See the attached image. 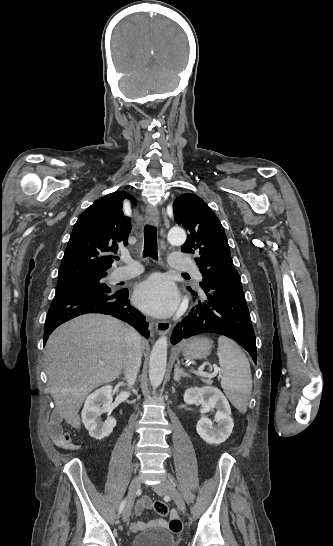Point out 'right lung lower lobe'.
I'll list each match as a JSON object with an SVG mask.
<instances>
[{
  "instance_id": "98d812e1",
  "label": "right lung lower lobe",
  "mask_w": 333,
  "mask_h": 546,
  "mask_svg": "<svg viewBox=\"0 0 333 546\" xmlns=\"http://www.w3.org/2000/svg\"><path fill=\"white\" fill-rule=\"evenodd\" d=\"M128 289L115 293L97 292L68 293L55 296L49 308L44 333V345L48 336L62 323L85 313H101L123 320L149 337V323L145 316L128 299Z\"/></svg>"
}]
</instances>
